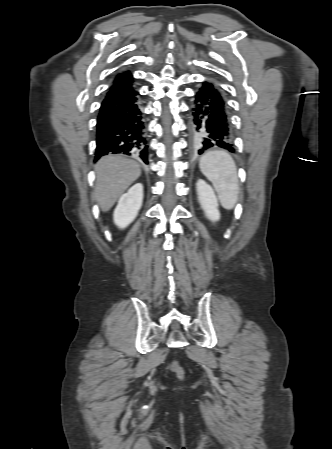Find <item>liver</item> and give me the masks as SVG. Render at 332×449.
<instances>
[{
    "instance_id": "1",
    "label": "liver",
    "mask_w": 332,
    "mask_h": 449,
    "mask_svg": "<svg viewBox=\"0 0 332 449\" xmlns=\"http://www.w3.org/2000/svg\"><path fill=\"white\" fill-rule=\"evenodd\" d=\"M95 172V199L103 212L109 211L141 175L137 162L119 155L102 157L95 165Z\"/></svg>"
}]
</instances>
